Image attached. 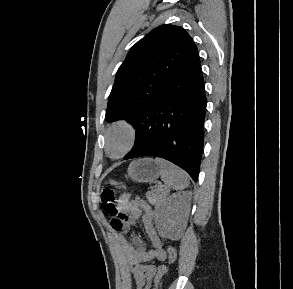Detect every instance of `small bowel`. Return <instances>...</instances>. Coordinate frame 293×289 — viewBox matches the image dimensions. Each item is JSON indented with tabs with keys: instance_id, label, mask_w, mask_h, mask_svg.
Wrapping results in <instances>:
<instances>
[{
	"instance_id": "c3829d8e",
	"label": "small bowel",
	"mask_w": 293,
	"mask_h": 289,
	"mask_svg": "<svg viewBox=\"0 0 293 289\" xmlns=\"http://www.w3.org/2000/svg\"><path fill=\"white\" fill-rule=\"evenodd\" d=\"M117 203L121 216L111 218V227L118 232L117 240L130 265V271L135 281L136 289H150L153 279L163 266L156 267L155 260L164 261L167 253L154 227V210L150 204L140 198L131 199L128 194L118 197ZM142 221L147 237L152 245L148 249L144 240L135 234L127 240L126 229L134 227ZM123 224V228L116 229L115 224Z\"/></svg>"
}]
</instances>
